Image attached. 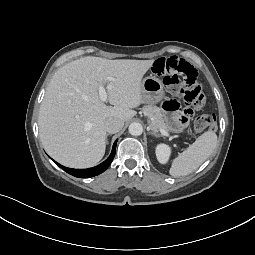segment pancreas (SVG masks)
Here are the masks:
<instances>
[{"label":"pancreas","instance_id":"cf45deb5","mask_svg":"<svg viewBox=\"0 0 255 255\" xmlns=\"http://www.w3.org/2000/svg\"><path fill=\"white\" fill-rule=\"evenodd\" d=\"M144 114L148 117L150 127L154 132L160 131V129H164L165 131H169L168 125L164 122L163 114L161 110L157 106L147 105L143 108Z\"/></svg>","mask_w":255,"mask_h":255}]
</instances>
